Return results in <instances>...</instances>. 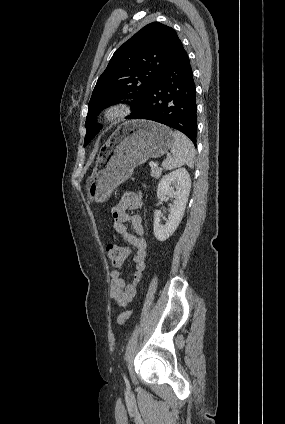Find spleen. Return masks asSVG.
<instances>
[{
  "label": "spleen",
  "mask_w": 285,
  "mask_h": 424,
  "mask_svg": "<svg viewBox=\"0 0 285 424\" xmlns=\"http://www.w3.org/2000/svg\"><path fill=\"white\" fill-rule=\"evenodd\" d=\"M173 137L174 143L171 147L172 155L163 161V168L171 170L185 164L192 168L195 155V149L192 142L179 131H174Z\"/></svg>",
  "instance_id": "1"
}]
</instances>
